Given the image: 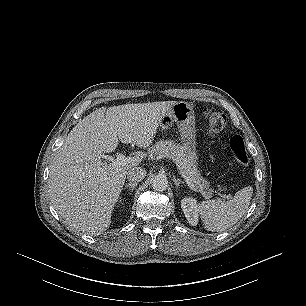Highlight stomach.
Listing matches in <instances>:
<instances>
[{
	"label": "stomach",
	"instance_id": "stomach-1",
	"mask_svg": "<svg viewBox=\"0 0 306 306\" xmlns=\"http://www.w3.org/2000/svg\"><path fill=\"white\" fill-rule=\"evenodd\" d=\"M174 122L177 124L186 152L193 156L196 163L195 115L193 107L188 102L179 101L175 103L162 117L159 129L166 131L170 129Z\"/></svg>",
	"mask_w": 306,
	"mask_h": 306
}]
</instances>
